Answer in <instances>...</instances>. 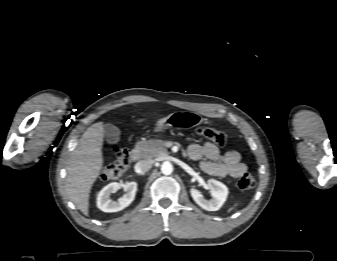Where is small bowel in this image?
Listing matches in <instances>:
<instances>
[{"label": "small bowel", "instance_id": "c3829d8e", "mask_svg": "<svg viewBox=\"0 0 337 261\" xmlns=\"http://www.w3.org/2000/svg\"><path fill=\"white\" fill-rule=\"evenodd\" d=\"M187 155L192 160L201 161V170L212 176L238 178L247 171L237 151L230 150L221 153L219 148L211 142L191 144L187 149Z\"/></svg>", "mask_w": 337, "mask_h": 261}]
</instances>
